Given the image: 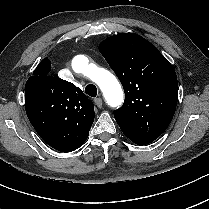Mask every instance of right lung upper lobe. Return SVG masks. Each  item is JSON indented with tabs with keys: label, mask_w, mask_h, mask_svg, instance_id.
Listing matches in <instances>:
<instances>
[{
	"label": "right lung upper lobe",
	"mask_w": 209,
	"mask_h": 209,
	"mask_svg": "<svg viewBox=\"0 0 209 209\" xmlns=\"http://www.w3.org/2000/svg\"><path fill=\"white\" fill-rule=\"evenodd\" d=\"M43 59L25 85V110L36 131H50L69 151L80 147L94 121V105L73 83L49 74Z\"/></svg>",
	"instance_id": "1"
}]
</instances>
